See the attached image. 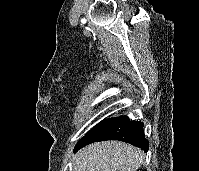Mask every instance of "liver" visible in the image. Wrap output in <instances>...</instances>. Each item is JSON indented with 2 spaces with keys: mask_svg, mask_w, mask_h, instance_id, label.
Segmentation results:
<instances>
[{
  "mask_svg": "<svg viewBox=\"0 0 199 171\" xmlns=\"http://www.w3.org/2000/svg\"><path fill=\"white\" fill-rule=\"evenodd\" d=\"M143 160L144 152L130 144L98 142L77 153L73 171H136Z\"/></svg>",
  "mask_w": 199,
  "mask_h": 171,
  "instance_id": "liver-1",
  "label": "liver"
}]
</instances>
